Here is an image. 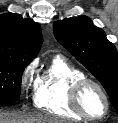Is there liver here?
Masks as SVG:
<instances>
[{"label": "liver", "instance_id": "1", "mask_svg": "<svg viewBox=\"0 0 118 123\" xmlns=\"http://www.w3.org/2000/svg\"><path fill=\"white\" fill-rule=\"evenodd\" d=\"M0 123H66V121L41 113L26 114L0 111Z\"/></svg>", "mask_w": 118, "mask_h": 123}]
</instances>
